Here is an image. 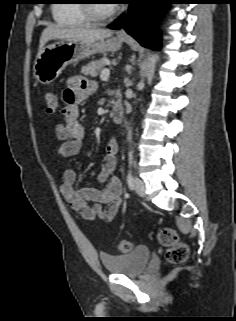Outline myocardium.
Listing matches in <instances>:
<instances>
[{
	"mask_svg": "<svg viewBox=\"0 0 236 321\" xmlns=\"http://www.w3.org/2000/svg\"><path fill=\"white\" fill-rule=\"evenodd\" d=\"M83 12L87 20L92 25H101L108 21H111L117 14L118 9L113 5L112 9L104 16H99L94 8L95 0H82Z\"/></svg>",
	"mask_w": 236,
	"mask_h": 321,
	"instance_id": "1",
	"label": "myocardium"
}]
</instances>
